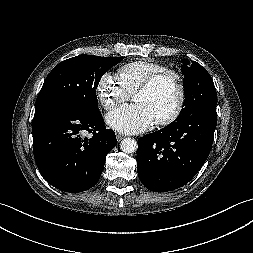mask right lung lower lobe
Returning <instances> with one entry per match:
<instances>
[{
    "mask_svg": "<svg viewBox=\"0 0 253 253\" xmlns=\"http://www.w3.org/2000/svg\"><path fill=\"white\" fill-rule=\"evenodd\" d=\"M32 132L40 173L52 186L71 193L97 183L106 155L117 144L99 110L81 112L63 105H44L35 110ZM86 132L92 136L84 138Z\"/></svg>",
    "mask_w": 253,
    "mask_h": 253,
    "instance_id": "1",
    "label": "right lung lower lobe"
}]
</instances>
